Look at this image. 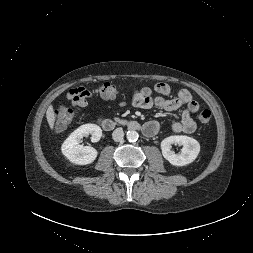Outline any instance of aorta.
Here are the masks:
<instances>
[{
	"label": "aorta",
	"mask_w": 253,
	"mask_h": 253,
	"mask_svg": "<svg viewBox=\"0 0 253 253\" xmlns=\"http://www.w3.org/2000/svg\"><path fill=\"white\" fill-rule=\"evenodd\" d=\"M126 137H127L128 141L135 142V141H137L139 135H138L137 131L129 130L126 134Z\"/></svg>",
	"instance_id": "obj_1"
}]
</instances>
